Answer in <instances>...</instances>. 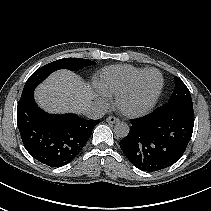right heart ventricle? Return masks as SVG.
<instances>
[{
	"instance_id": "obj_1",
	"label": "right heart ventricle",
	"mask_w": 211,
	"mask_h": 211,
	"mask_svg": "<svg viewBox=\"0 0 211 211\" xmlns=\"http://www.w3.org/2000/svg\"><path fill=\"white\" fill-rule=\"evenodd\" d=\"M144 68L129 65H118L104 68L96 77L97 87L108 96H118Z\"/></svg>"
}]
</instances>
